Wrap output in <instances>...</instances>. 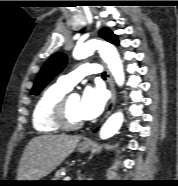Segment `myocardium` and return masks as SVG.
<instances>
[{"instance_id":"myocardium-1","label":"myocardium","mask_w":178,"mask_h":186,"mask_svg":"<svg viewBox=\"0 0 178 186\" xmlns=\"http://www.w3.org/2000/svg\"><path fill=\"white\" fill-rule=\"evenodd\" d=\"M70 96L65 94L54 105L52 110L53 122L62 130L74 131L81 129L84 125V121L72 122L68 117L67 103Z\"/></svg>"}]
</instances>
